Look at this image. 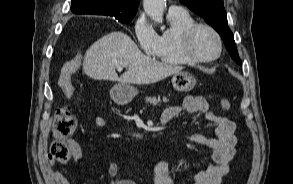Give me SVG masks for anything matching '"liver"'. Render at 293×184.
<instances>
[{"label":"liver","mask_w":293,"mask_h":184,"mask_svg":"<svg viewBox=\"0 0 293 184\" xmlns=\"http://www.w3.org/2000/svg\"><path fill=\"white\" fill-rule=\"evenodd\" d=\"M127 70L120 77L116 68ZM181 66L160 63L144 55L125 33L111 32L98 39L86 51L83 72L95 80L151 84L178 73Z\"/></svg>","instance_id":"obj_1"}]
</instances>
